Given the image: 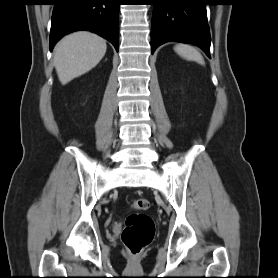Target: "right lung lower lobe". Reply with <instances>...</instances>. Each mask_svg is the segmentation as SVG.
<instances>
[{
	"label": "right lung lower lobe",
	"instance_id": "1",
	"mask_svg": "<svg viewBox=\"0 0 278 278\" xmlns=\"http://www.w3.org/2000/svg\"><path fill=\"white\" fill-rule=\"evenodd\" d=\"M50 50L66 34L87 30L110 41L118 51L120 0H55Z\"/></svg>",
	"mask_w": 278,
	"mask_h": 278
}]
</instances>
